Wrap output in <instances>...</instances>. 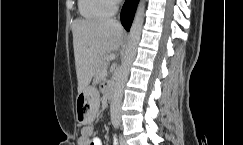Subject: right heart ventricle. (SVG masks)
<instances>
[{
	"label": "right heart ventricle",
	"mask_w": 243,
	"mask_h": 145,
	"mask_svg": "<svg viewBox=\"0 0 243 145\" xmlns=\"http://www.w3.org/2000/svg\"><path fill=\"white\" fill-rule=\"evenodd\" d=\"M81 15L90 20L101 19L113 13L108 0H78Z\"/></svg>",
	"instance_id": "1"
}]
</instances>
